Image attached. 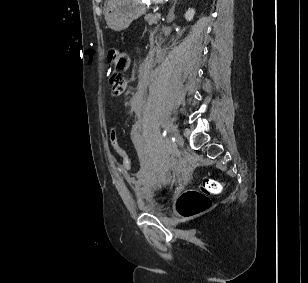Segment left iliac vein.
I'll use <instances>...</instances> for the list:
<instances>
[{
	"label": "left iliac vein",
	"mask_w": 308,
	"mask_h": 283,
	"mask_svg": "<svg viewBox=\"0 0 308 283\" xmlns=\"http://www.w3.org/2000/svg\"><path fill=\"white\" fill-rule=\"evenodd\" d=\"M174 135H175V142L178 146L182 147L184 145V140L183 138L181 137L180 133L176 130L174 132Z\"/></svg>",
	"instance_id": "left-iliac-vein-1"
}]
</instances>
